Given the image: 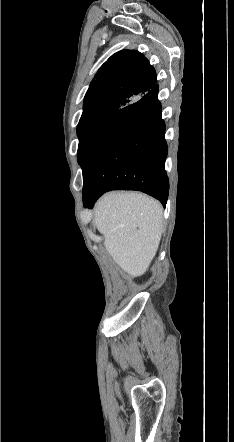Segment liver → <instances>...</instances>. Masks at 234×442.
I'll use <instances>...</instances> for the list:
<instances>
[{"mask_svg":"<svg viewBox=\"0 0 234 442\" xmlns=\"http://www.w3.org/2000/svg\"><path fill=\"white\" fill-rule=\"evenodd\" d=\"M163 208L137 192H110L94 208V224L113 260L132 277L143 275L156 255L163 232Z\"/></svg>","mask_w":234,"mask_h":442,"instance_id":"1","label":"liver"}]
</instances>
